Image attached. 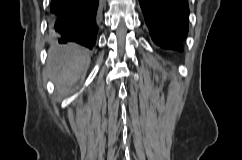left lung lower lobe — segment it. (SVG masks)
<instances>
[{"label": "left lung lower lobe", "instance_id": "left-lung-lower-lobe-1", "mask_svg": "<svg viewBox=\"0 0 242 160\" xmlns=\"http://www.w3.org/2000/svg\"><path fill=\"white\" fill-rule=\"evenodd\" d=\"M153 41L164 49L182 51L188 33V0H139Z\"/></svg>", "mask_w": 242, "mask_h": 160}]
</instances>
